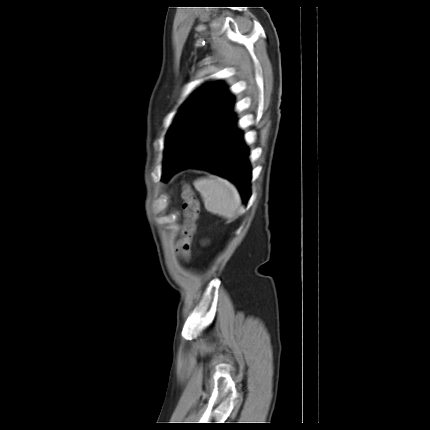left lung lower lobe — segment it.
I'll use <instances>...</instances> for the list:
<instances>
[{
    "label": "left lung lower lobe",
    "mask_w": 430,
    "mask_h": 430,
    "mask_svg": "<svg viewBox=\"0 0 430 430\" xmlns=\"http://www.w3.org/2000/svg\"><path fill=\"white\" fill-rule=\"evenodd\" d=\"M248 149L235 121L211 115L202 120L190 138L164 164L162 180L189 167L212 171L234 182L243 202L250 195L251 166Z\"/></svg>",
    "instance_id": "left-lung-lower-lobe-1"
}]
</instances>
